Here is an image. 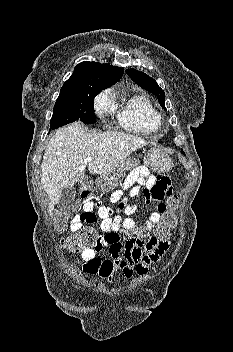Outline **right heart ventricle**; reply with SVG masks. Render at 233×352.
Listing matches in <instances>:
<instances>
[{"mask_svg": "<svg viewBox=\"0 0 233 352\" xmlns=\"http://www.w3.org/2000/svg\"><path fill=\"white\" fill-rule=\"evenodd\" d=\"M117 119L122 129L137 134H153L161 127L160 113L141 93H135L121 103Z\"/></svg>", "mask_w": 233, "mask_h": 352, "instance_id": "obj_1", "label": "right heart ventricle"}]
</instances>
